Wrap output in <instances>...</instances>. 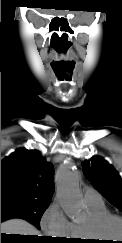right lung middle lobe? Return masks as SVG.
Masks as SVG:
<instances>
[{
  "instance_id": "1",
  "label": "right lung middle lobe",
  "mask_w": 122,
  "mask_h": 243,
  "mask_svg": "<svg viewBox=\"0 0 122 243\" xmlns=\"http://www.w3.org/2000/svg\"><path fill=\"white\" fill-rule=\"evenodd\" d=\"M49 205V200H40L26 196H1V215H13L27 218L40 229V220Z\"/></svg>"
}]
</instances>
